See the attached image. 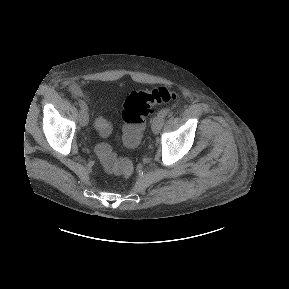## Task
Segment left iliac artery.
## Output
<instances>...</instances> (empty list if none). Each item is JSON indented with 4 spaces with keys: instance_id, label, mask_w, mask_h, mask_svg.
<instances>
[{
    "instance_id": "44dca946",
    "label": "left iliac artery",
    "mask_w": 289,
    "mask_h": 289,
    "mask_svg": "<svg viewBox=\"0 0 289 289\" xmlns=\"http://www.w3.org/2000/svg\"><path fill=\"white\" fill-rule=\"evenodd\" d=\"M171 112H170V109H168V108H164V109H162L158 114H160L163 118L165 117V116H167L168 114H170Z\"/></svg>"
}]
</instances>
